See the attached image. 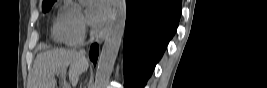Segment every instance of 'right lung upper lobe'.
Returning a JSON list of instances; mask_svg holds the SVG:
<instances>
[{
    "mask_svg": "<svg viewBox=\"0 0 267 88\" xmlns=\"http://www.w3.org/2000/svg\"><path fill=\"white\" fill-rule=\"evenodd\" d=\"M47 1H50V0H44L43 2H47Z\"/></svg>",
    "mask_w": 267,
    "mask_h": 88,
    "instance_id": "right-lung-upper-lobe-1",
    "label": "right lung upper lobe"
}]
</instances>
